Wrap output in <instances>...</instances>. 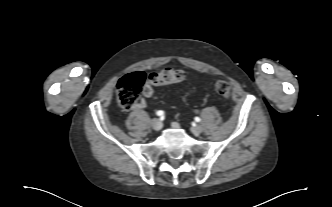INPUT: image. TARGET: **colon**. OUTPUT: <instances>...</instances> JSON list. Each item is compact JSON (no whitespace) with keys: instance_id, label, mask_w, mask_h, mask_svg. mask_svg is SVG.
I'll use <instances>...</instances> for the list:
<instances>
[{"instance_id":"obj_1","label":"colon","mask_w":332,"mask_h":207,"mask_svg":"<svg viewBox=\"0 0 332 207\" xmlns=\"http://www.w3.org/2000/svg\"><path fill=\"white\" fill-rule=\"evenodd\" d=\"M186 74L182 70L173 68H164L146 76L145 73L137 71L121 78L117 85V102L119 107L124 110H130L139 99L143 86L148 80L156 86H163L184 81ZM215 90L223 97H229L231 86L227 81H218L215 84Z\"/></svg>"}]
</instances>
